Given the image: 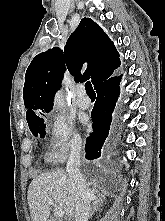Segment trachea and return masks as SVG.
<instances>
[{"label": "trachea", "instance_id": "1", "mask_svg": "<svg viewBox=\"0 0 165 221\" xmlns=\"http://www.w3.org/2000/svg\"><path fill=\"white\" fill-rule=\"evenodd\" d=\"M85 89H86L87 95H89V96H91V95H92V96L96 95L90 81H87V82L85 83Z\"/></svg>", "mask_w": 165, "mask_h": 221}]
</instances>
